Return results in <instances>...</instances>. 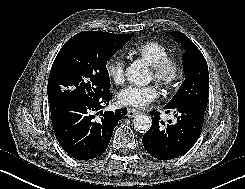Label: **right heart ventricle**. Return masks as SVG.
Here are the masks:
<instances>
[{"label": "right heart ventricle", "mask_w": 245, "mask_h": 189, "mask_svg": "<svg viewBox=\"0 0 245 189\" xmlns=\"http://www.w3.org/2000/svg\"><path fill=\"white\" fill-rule=\"evenodd\" d=\"M133 55L144 59L151 67L169 56L168 49L156 41H147L134 47Z\"/></svg>", "instance_id": "obj_1"}]
</instances>
